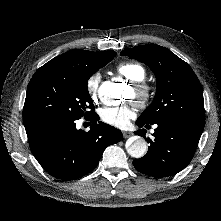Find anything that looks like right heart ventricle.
I'll return each mask as SVG.
<instances>
[{"label": "right heart ventricle", "instance_id": "obj_1", "mask_svg": "<svg viewBox=\"0 0 221 221\" xmlns=\"http://www.w3.org/2000/svg\"><path fill=\"white\" fill-rule=\"evenodd\" d=\"M118 74L122 75L126 79L134 82L144 80L146 76V70L143 65L137 62L124 61L116 66Z\"/></svg>", "mask_w": 221, "mask_h": 221}]
</instances>
